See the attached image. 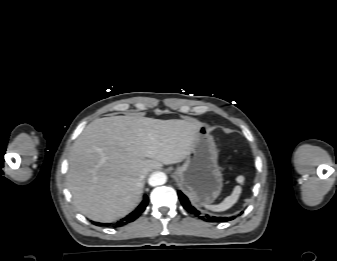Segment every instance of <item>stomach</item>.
Returning <instances> with one entry per match:
<instances>
[{
    "label": "stomach",
    "mask_w": 337,
    "mask_h": 261,
    "mask_svg": "<svg viewBox=\"0 0 337 261\" xmlns=\"http://www.w3.org/2000/svg\"><path fill=\"white\" fill-rule=\"evenodd\" d=\"M174 174L179 187L196 204H210L220 195L223 177L218 151L207 126L200 127L185 162Z\"/></svg>",
    "instance_id": "0dacf381"
}]
</instances>
